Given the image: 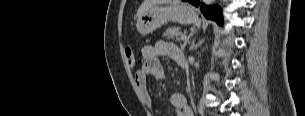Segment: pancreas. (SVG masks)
Masks as SVG:
<instances>
[{
    "label": "pancreas",
    "instance_id": "1",
    "mask_svg": "<svg viewBox=\"0 0 305 116\" xmlns=\"http://www.w3.org/2000/svg\"><path fill=\"white\" fill-rule=\"evenodd\" d=\"M183 34H181L177 28L175 27H168L166 31L163 33V37L167 39H176L179 40L180 37H182ZM185 46V43L182 45V47Z\"/></svg>",
    "mask_w": 305,
    "mask_h": 116
}]
</instances>
